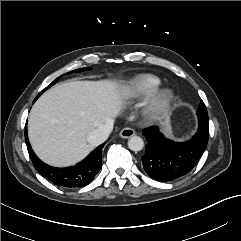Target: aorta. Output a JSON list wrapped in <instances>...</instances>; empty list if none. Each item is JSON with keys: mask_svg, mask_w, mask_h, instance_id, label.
<instances>
[{"mask_svg": "<svg viewBox=\"0 0 241 241\" xmlns=\"http://www.w3.org/2000/svg\"><path fill=\"white\" fill-rule=\"evenodd\" d=\"M128 147L130 150L135 151V152L141 151L144 147V141L139 136H132L128 140Z\"/></svg>", "mask_w": 241, "mask_h": 241, "instance_id": "obj_1", "label": "aorta"}]
</instances>
